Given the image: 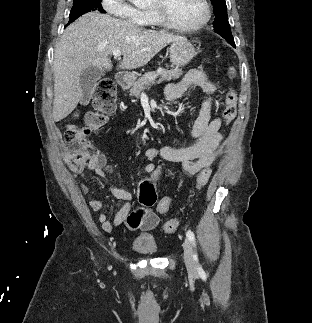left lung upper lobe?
<instances>
[{"label": "left lung upper lobe", "mask_w": 312, "mask_h": 323, "mask_svg": "<svg viewBox=\"0 0 312 323\" xmlns=\"http://www.w3.org/2000/svg\"><path fill=\"white\" fill-rule=\"evenodd\" d=\"M216 18L213 22L214 31L224 37L231 45L235 46L227 16L225 0H211Z\"/></svg>", "instance_id": "1"}]
</instances>
